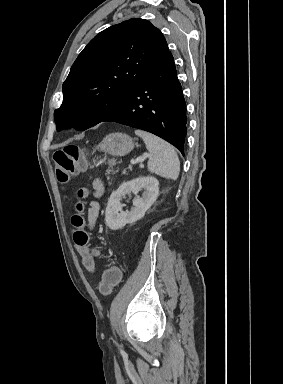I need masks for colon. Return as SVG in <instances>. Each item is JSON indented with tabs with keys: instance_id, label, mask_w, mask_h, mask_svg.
Segmentation results:
<instances>
[{
	"instance_id": "obj_1",
	"label": "colon",
	"mask_w": 283,
	"mask_h": 384,
	"mask_svg": "<svg viewBox=\"0 0 283 384\" xmlns=\"http://www.w3.org/2000/svg\"><path fill=\"white\" fill-rule=\"evenodd\" d=\"M53 159L55 163L56 176L61 184H67L85 166L84 153L81 148L76 145H68L57 150L53 155ZM86 194L87 192L84 189H80L78 191L80 199L85 198ZM83 209L84 204L82 201H79L76 205L77 213L74 214L71 219V222L75 227L73 240L75 244L79 246H86L89 242V235L83 228L85 222L82 216ZM121 277L122 274L120 269L113 264L109 265L104 271L99 282V292L104 296L109 295L119 284Z\"/></svg>"
}]
</instances>
